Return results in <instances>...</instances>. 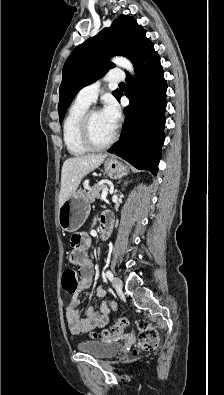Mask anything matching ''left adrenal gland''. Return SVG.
Returning a JSON list of instances; mask_svg holds the SVG:
<instances>
[{
  "mask_svg": "<svg viewBox=\"0 0 224 395\" xmlns=\"http://www.w3.org/2000/svg\"><path fill=\"white\" fill-rule=\"evenodd\" d=\"M127 183H128V182H127V181H125V182H124V185H127Z\"/></svg>",
  "mask_w": 224,
  "mask_h": 395,
  "instance_id": "1",
  "label": "left adrenal gland"
}]
</instances>
